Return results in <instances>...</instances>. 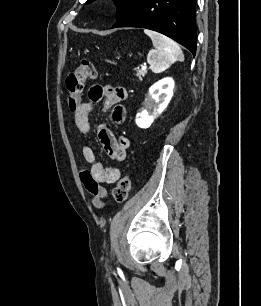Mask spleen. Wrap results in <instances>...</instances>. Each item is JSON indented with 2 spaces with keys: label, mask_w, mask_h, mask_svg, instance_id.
Wrapping results in <instances>:
<instances>
[{
  "label": "spleen",
  "mask_w": 261,
  "mask_h": 306,
  "mask_svg": "<svg viewBox=\"0 0 261 306\" xmlns=\"http://www.w3.org/2000/svg\"><path fill=\"white\" fill-rule=\"evenodd\" d=\"M144 33L151 38L155 48L147 56V62L150 64L152 72L161 73L176 61H184L183 52L175 41L149 29H145Z\"/></svg>",
  "instance_id": "1"
}]
</instances>
